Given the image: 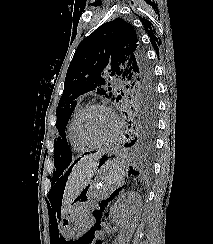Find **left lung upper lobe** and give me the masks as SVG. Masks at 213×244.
I'll use <instances>...</instances> for the list:
<instances>
[{"label":"left lung upper lobe","instance_id":"1","mask_svg":"<svg viewBox=\"0 0 213 244\" xmlns=\"http://www.w3.org/2000/svg\"><path fill=\"white\" fill-rule=\"evenodd\" d=\"M117 83L124 92L114 95ZM93 91L111 100L126 101L135 115H157L156 85L152 68L133 27L121 18L105 23L77 47L68 67L63 94L56 110L59 137L55 139L54 163L65 169L71 157L65 128L77 98ZM122 91V90H121ZM120 93V91H118Z\"/></svg>","mask_w":213,"mask_h":244}]
</instances>
